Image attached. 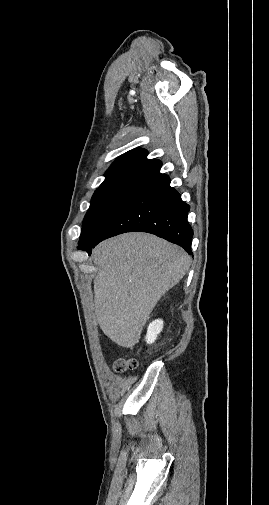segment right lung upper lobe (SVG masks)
Instances as JSON below:
<instances>
[{
	"mask_svg": "<svg viewBox=\"0 0 269 505\" xmlns=\"http://www.w3.org/2000/svg\"><path fill=\"white\" fill-rule=\"evenodd\" d=\"M144 149L130 150L112 164L105 173V180L100 187H127L141 189L161 175L160 160L147 159Z\"/></svg>",
	"mask_w": 269,
	"mask_h": 505,
	"instance_id": "cb5924a9",
	"label": "right lung upper lobe"
}]
</instances>
